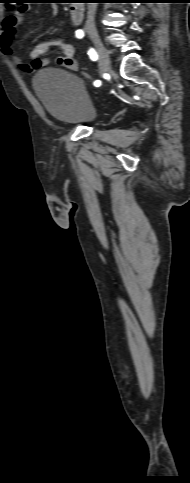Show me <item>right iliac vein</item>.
<instances>
[{"instance_id": "63e3f726", "label": "right iliac vein", "mask_w": 190, "mask_h": 483, "mask_svg": "<svg viewBox=\"0 0 190 483\" xmlns=\"http://www.w3.org/2000/svg\"><path fill=\"white\" fill-rule=\"evenodd\" d=\"M88 33L94 43V46L97 50L98 56H99V69H100V74L103 75L104 73H107L110 71V61H109V56L106 48L104 47L98 32L95 29H89Z\"/></svg>"}]
</instances>
